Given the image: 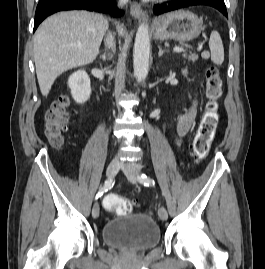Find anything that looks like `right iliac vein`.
Returning <instances> with one entry per match:
<instances>
[{
  "label": "right iliac vein",
  "instance_id": "right-iliac-vein-1",
  "mask_svg": "<svg viewBox=\"0 0 265 269\" xmlns=\"http://www.w3.org/2000/svg\"><path fill=\"white\" fill-rule=\"evenodd\" d=\"M120 166H121V163L118 160L111 161L106 170L107 177L109 178L114 177L119 171ZM99 212H100L99 204L95 202L92 208V216L94 218H98Z\"/></svg>",
  "mask_w": 265,
  "mask_h": 269
}]
</instances>
